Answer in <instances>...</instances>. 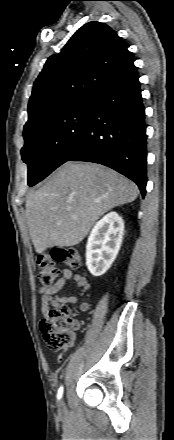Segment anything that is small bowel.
Here are the masks:
<instances>
[{
  "label": "small bowel",
  "instance_id": "c3829d8e",
  "mask_svg": "<svg viewBox=\"0 0 174 440\" xmlns=\"http://www.w3.org/2000/svg\"><path fill=\"white\" fill-rule=\"evenodd\" d=\"M74 281L82 295L87 296L90 288L89 281L80 274H73L70 269H63L62 275L52 285L41 287L38 291L41 302V315L47 317L50 308L53 310H60L62 308L75 305L77 303V296L67 295L59 296L58 293L65 288L68 281ZM88 301H83L79 304V309L85 312L89 309Z\"/></svg>",
  "mask_w": 174,
  "mask_h": 440
}]
</instances>
